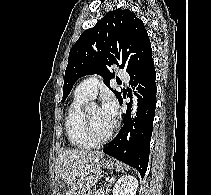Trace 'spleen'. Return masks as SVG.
<instances>
[{
  "instance_id": "spleen-1",
  "label": "spleen",
  "mask_w": 211,
  "mask_h": 195,
  "mask_svg": "<svg viewBox=\"0 0 211 195\" xmlns=\"http://www.w3.org/2000/svg\"><path fill=\"white\" fill-rule=\"evenodd\" d=\"M126 169L129 170L130 168L127 166Z\"/></svg>"
}]
</instances>
